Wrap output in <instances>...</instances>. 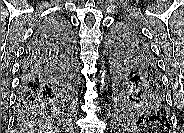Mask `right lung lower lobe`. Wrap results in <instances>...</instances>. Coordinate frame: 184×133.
<instances>
[{
    "mask_svg": "<svg viewBox=\"0 0 184 133\" xmlns=\"http://www.w3.org/2000/svg\"><path fill=\"white\" fill-rule=\"evenodd\" d=\"M65 27L49 19L34 33L20 70L17 103L39 104L56 96L67 76L68 56L74 46Z\"/></svg>",
    "mask_w": 184,
    "mask_h": 133,
    "instance_id": "1",
    "label": "right lung lower lobe"
}]
</instances>
